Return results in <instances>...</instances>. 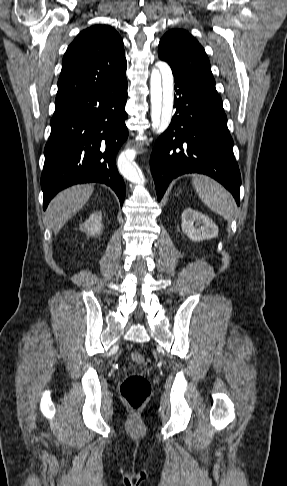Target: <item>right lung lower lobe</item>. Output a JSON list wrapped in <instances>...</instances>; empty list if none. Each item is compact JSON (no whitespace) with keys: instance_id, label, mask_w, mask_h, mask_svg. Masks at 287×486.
<instances>
[{"instance_id":"1","label":"right lung lower lobe","mask_w":287,"mask_h":486,"mask_svg":"<svg viewBox=\"0 0 287 486\" xmlns=\"http://www.w3.org/2000/svg\"><path fill=\"white\" fill-rule=\"evenodd\" d=\"M127 80L55 109L41 175L43 208L62 189L77 183L110 186L123 204L126 188L115 157L128 137Z\"/></svg>"}]
</instances>
